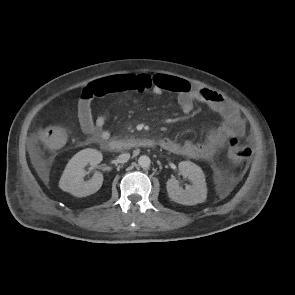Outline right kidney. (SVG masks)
<instances>
[{"instance_id":"ca27d5eb","label":"right kidney","mask_w":295,"mask_h":295,"mask_svg":"<svg viewBox=\"0 0 295 295\" xmlns=\"http://www.w3.org/2000/svg\"><path fill=\"white\" fill-rule=\"evenodd\" d=\"M102 159L103 155L98 150L91 148L81 150L68 162L59 181V187L77 197L94 194L102 186L103 175L96 172L90 180L84 181L85 167L88 164L95 166Z\"/></svg>"}]
</instances>
